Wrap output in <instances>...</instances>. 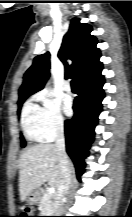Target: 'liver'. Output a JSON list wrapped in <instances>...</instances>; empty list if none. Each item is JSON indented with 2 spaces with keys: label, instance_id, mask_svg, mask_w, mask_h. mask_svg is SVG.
<instances>
[{
  "label": "liver",
  "instance_id": "liver-1",
  "mask_svg": "<svg viewBox=\"0 0 132 217\" xmlns=\"http://www.w3.org/2000/svg\"><path fill=\"white\" fill-rule=\"evenodd\" d=\"M18 167L21 201L45 182L58 188L62 181L55 144H37L27 148L20 156Z\"/></svg>",
  "mask_w": 132,
  "mask_h": 217
}]
</instances>
